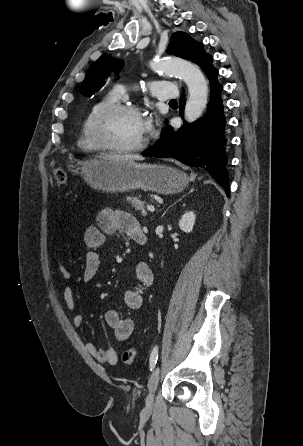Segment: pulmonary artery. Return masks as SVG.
<instances>
[{
    "instance_id": "pulmonary-artery-1",
    "label": "pulmonary artery",
    "mask_w": 303,
    "mask_h": 446,
    "mask_svg": "<svg viewBox=\"0 0 303 446\" xmlns=\"http://www.w3.org/2000/svg\"><path fill=\"white\" fill-rule=\"evenodd\" d=\"M152 94L159 100H172L178 96L177 89L174 84L167 81H155L151 85ZM116 92L119 96H124L125 88L121 85L117 86Z\"/></svg>"
}]
</instances>
